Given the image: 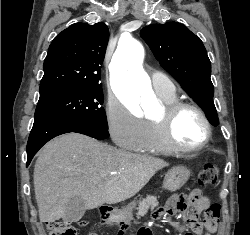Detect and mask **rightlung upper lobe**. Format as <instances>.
I'll use <instances>...</instances> for the list:
<instances>
[{
    "label": "right lung upper lobe",
    "mask_w": 250,
    "mask_h": 235,
    "mask_svg": "<svg viewBox=\"0 0 250 235\" xmlns=\"http://www.w3.org/2000/svg\"><path fill=\"white\" fill-rule=\"evenodd\" d=\"M107 26L75 23L59 33L48 49L40 97L101 86V67L108 43Z\"/></svg>",
    "instance_id": "right-lung-upper-lobe-1"
}]
</instances>
